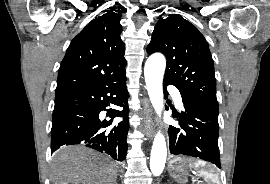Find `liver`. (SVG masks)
I'll return each mask as SVG.
<instances>
[{
  "label": "liver",
  "instance_id": "6515ba94",
  "mask_svg": "<svg viewBox=\"0 0 270 184\" xmlns=\"http://www.w3.org/2000/svg\"><path fill=\"white\" fill-rule=\"evenodd\" d=\"M116 163L82 146L64 147L51 166L53 184H116Z\"/></svg>",
  "mask_w": 270,
  "mask_h": 184
}]
</instances>
